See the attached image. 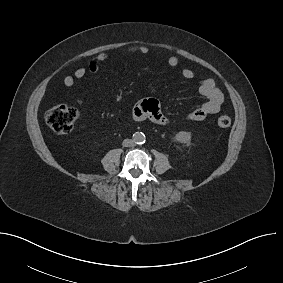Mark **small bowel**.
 <instances>
[{
	"mask_svg": "<svg viewBox=\"0 0 283 283\" xmlns=\"http://www.w3.org/2000/svg\"><path fill=\"white\" fill-rule=\"evenodd\" d=\"M148 47L142 44H133L123 50L125 54H147ZM107 53L98 54L88 65V69L80 67L75 70L73 75H67L63 82L68 88H72L77 80L83 79L87 72L97 73L100 70L101 65L108 60ZM166 62L170 67H176L179 60L176 56L166 57ZM181 76L185 80H191L194 78V72L191 69H183ZM198 91L205 102L192 110L188 114V119L191 121H202L207 116L216 114L221 110L224 102V96L220 89L215 85V82L211 78H204L199 82ZM79 104H82L81 99H77ZM133 118L136 121L150 120L156 124L164 125L168 123V118L163 114L160 104L155 99H145L137 103L133 109Z\"/></svg>",
	"mask_w": 283,
	"mask_h": 283,
	"instance_id": "c3829d8e",
	"label": "small bowel"
}]
</instances>
